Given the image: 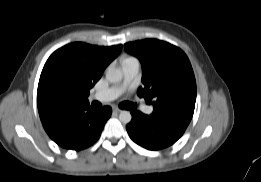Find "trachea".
Listing matches in <instances>:
<instances>
[{
	"label": "trachea",
	"mask_w": 261,
	"mask_h": 182,
	"mask_svg": "<svg viewBox=\"0 0 261 182\" xmlns=\"http://www.w3.org/2000/svg\"><path fill=\"white\" fill-rule=\"evenodd\" d=\"M92 106L94 108H100L101 107V104L98 103V102H93L92 103ZM120 108L122 109H133L136 107V104H133V103H130V102H123L119 105Z\"/></svg>",
	"instance_id": "1"
}]
</instances>
